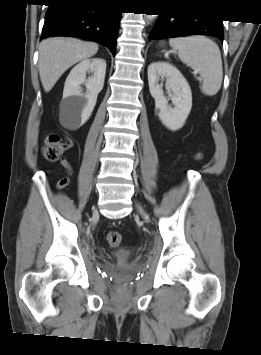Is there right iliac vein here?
<instances>
[{
    "label": "right iliac vein",
    "instance_id": "63e3f726",
    "mask_svg": "<svg viewBox=\"0 0 261 355\" xmlns=\"http://www.w3.org/2000/svg\"><path fill=\"white\" fill-rule=\"evenodd\" d=\"M93 213H94V214H97V211H96V210H94V211H93Z\"/></svg>",
    "mask_w": 261,
    "mask_h": 355
}]
</instances>
